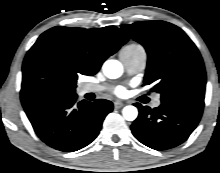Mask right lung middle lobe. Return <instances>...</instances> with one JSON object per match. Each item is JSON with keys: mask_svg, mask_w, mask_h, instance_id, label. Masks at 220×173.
Listing matches in <instances>:
<instances>
[{"mask_svg": "<svg viewBox=\"0 0 220 173\" xmlns=\"http://www.w3.org/2000/svg\"><path fill=\"white\" fill-rule=\"evenodd\" d=\"M76 81L70 83L69 87L61 92V94H73L75 93Z\"/></svg>", "mask_w": 220, "mask_h": 173, "instance_id": "dd1d6c3e", "label": "right lung middle lobe"}]
</instances>
